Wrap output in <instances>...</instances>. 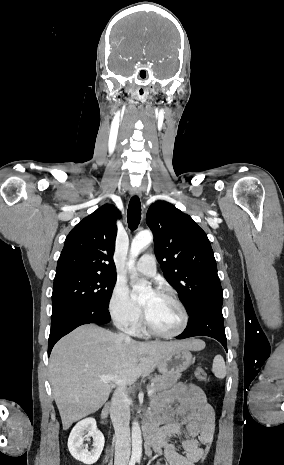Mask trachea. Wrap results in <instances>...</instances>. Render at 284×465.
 <instances>
[{
    "instance_id": "trachea-1",
    "label": "trachea",
    "mask_w": 284,
    "mask_h": 465,
    "mask_svg": "<svg viewBox=\"0 0 284 465\" xmlns=\"http://www.w3.org/2000/svg\"><path fill=\"white\" fill-rule=\"evenodd\" d=\"M127 220L130 230H136L141 220V203L138 196H133L129 202Z\"/></svg>"
}]
</instances>
